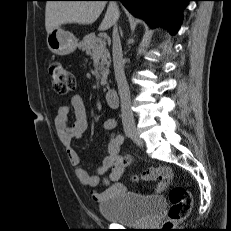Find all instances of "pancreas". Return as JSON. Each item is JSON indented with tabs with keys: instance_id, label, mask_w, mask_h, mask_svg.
<instances>
[{
	"instance_id": "1",
	"label": "pancreas",
	"mask_w": 231,
	"mask_h": 231,
	"mask_svg": "<svg viewBox=\"0 0 231 231\" xmlns=\"http://www.w3.org/2000/svg\"><path fill=\"white\" fill-rule=\"evenodd\" d=\"M100 41L94 33L86 35L83 40L79 43L78 47L82 51H85L88 56L94 58L99 56L101 62L99 63V70L101 71V85L107 84V75L109 73L110 66V54L107 49H99Z\"/></svg>"
}]
</instances>
